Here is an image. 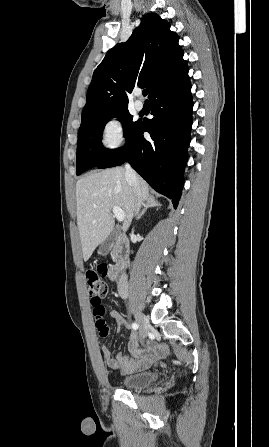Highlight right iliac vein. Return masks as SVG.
I'll return each instance as SVG.
<instances>
[{
    "instance_id": "63e3f726",
    "label": "right iliac vein",
    "mask_w": 269,
    "mask_h": 447,
    "mask_svg": "<svg viewBox=\"0 0 269 447\" xmlns=\"http://www.w3.org/2000/svg\"><path fill=\"white\" fill-rule=\"evenodd\" d=\"M135 318H136V322L139 325V331H140L141 337H146L148 326H149L148 318L140 312L136 313Z\"/></svg>"
}]
</instances>
